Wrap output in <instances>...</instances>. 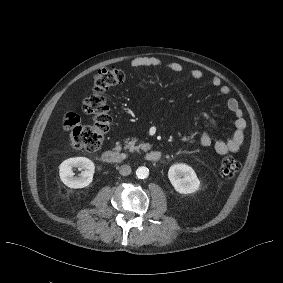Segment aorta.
I'll return each instance as SVG.
<instances>
[{
  "mask_svg": "<svg viewBox=\"0 0 283 283\" xmlns=\"http://www.w3.org/2000/svg\"><path fill=\"white\" fill-rule=\"evenodd\" d=\"M148 175H149V169L147 167L142 166L136 170V176L139 179H145L148 177Z\"/></svg>",
  "mask_w": 283,
  "mask_h": 283,
  "instance_id": "obj_1",
  "label": "aorta"
}]
</instances>
